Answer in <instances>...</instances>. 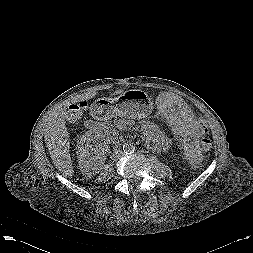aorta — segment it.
Returning <instances> with one entry per match:
<instances>
[{
    "instance_id": "obj_1",
    "label": "aorta",
    "mask_w": 253,
    "mask_h": 253,
    "mask_svg": "<svg viewBox=\"0 0 253 253\" xmlns=\"http://www.w3.org/2000/svg\"><path fill=\"white\" fill-rule=\"evenodd\" d=\"M152 149L155 150L153 147ZM123 150L124 152H132L134 150V147L131 144L126 143L123 145Z\"/></svg>"
}]
</instances>
